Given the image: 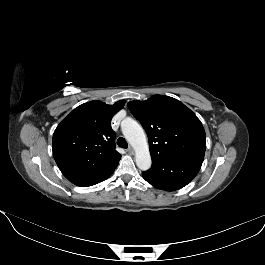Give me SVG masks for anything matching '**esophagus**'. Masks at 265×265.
<instances>
[{
    "mask_svg": "<svg viewBox=\"0 0 265 265\" xmlns=\"http://www.w3.org/2000/svg\"><path fill=\"white\" fill-rule=\"evenodd\" d=\"M128 152H129L130 154H134V149H133L132 147H129V148H128Z\"/></svg>",
    "mask_w": 265,
    "mask_h": 265,
    "instance_id": "obj_1",
    "label": "esophagus"
}]
</instances>
